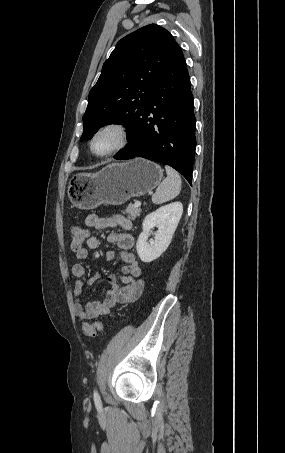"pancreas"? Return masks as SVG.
I'll return each instance as SVG.
<instances>
[{
    "label": "pancreas",
    "instance_id": "cf45deb5",
    "mask_svg": "<svg viewBox=\"0 0 285 453\" xmlns=\"http://www.w3.org/2000/svg\"><path fill=\"white\" fill-rule=\"evenodd\" d=\"M141 211L142 210L139 207H135L133 204H129L127 208L122 211V214H126L129 219L135 220L140 216Z\"/></svg>",
    "mask_w": 285,
    "mask_h": 453
}]
</instances>
